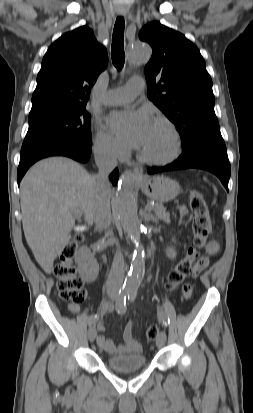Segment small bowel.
Returning a JSON list of instances; mask_svg holds the SVG:
<instances>
[{
	"label": "small bowel",
	"mask_w": 253,
	"mask_h": 413,
	"mask_svg": "<svg viewBox=\"0 0 253 413\" xmlns=\"http://www.w3.org/2000/svg\"><path fill=\"white\" fill-rule=\"evenodd\" d=\"M178 210L181 216V222L183 224H187L190 219V215L187 209L184 206H180ZM218 250L219 246L216 242L212 241L208 243L206 247L205 256H203L194 267V276L198 275L202 270H204L208 266L210 257L214 256L218 252ZM193 275L189 274L187 276V279L183 281L182 285L181 295L185 297L187 300H190L192 294L194 293V288L192 285L194 279ZM110 310L111 306L109 304H103L99 310V316L103 318L108 312H110ZM68 311L73 315H77L79 312V307L76 304H70L68 306ZM99 330H103V325L101 323L99 324ZM123 340L124 344L117 346L111 339H108L104 335L100 334L97 337V344L110 354L142 351V345L133 336L132 322H129L126 325L123 334Z\"/></svg>",
	"instance_id": "obj_1"
}]
</instances>
